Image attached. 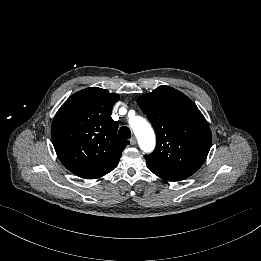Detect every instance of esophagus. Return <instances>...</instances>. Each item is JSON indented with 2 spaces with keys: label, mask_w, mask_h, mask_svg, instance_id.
Here are the masks:
<instances>
[{
  "label": "esophagus",
  "mask_w": 261,
  "mask_h": 261,
  "mask_svg": "<svg viewBox=\"0 0 261 261\" xmlns=\"http://www.w3.org/2000/svg\"><path fill=\"white\" fill-rule=\"evenodd\" d=\"M130 143H131L132 145H136L137 140H136V137H135V136H133V137L130 139Z\"/></svg>",
  "instance_id": "esophagus-1"
}]
</instances>
